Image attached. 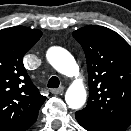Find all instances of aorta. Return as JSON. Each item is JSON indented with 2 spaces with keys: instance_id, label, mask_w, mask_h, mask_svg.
Here are the masks:
<instances>
[{
  "instance_id": "obj_1",
  "label": "aorta",
  "mask_w": 131,
  "mask_h": 131,
  "mask_svg": "<svg viewBox=\"0 0 131 131\" xmlns=\"http://www.w3.org/2000/svg\"><path fill=\"white\" fill-rule=\"evenodd\" d=\"M47 59L58 72L65 76L73 77L79 73L78 65L72 55L61 47H51L47 51ZM65 101L72 109H78L84 105L86 90L79 80L70 85L65 95Z\"/></svg>"
}]
</instances>
